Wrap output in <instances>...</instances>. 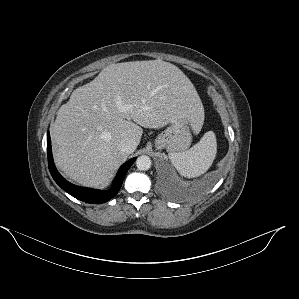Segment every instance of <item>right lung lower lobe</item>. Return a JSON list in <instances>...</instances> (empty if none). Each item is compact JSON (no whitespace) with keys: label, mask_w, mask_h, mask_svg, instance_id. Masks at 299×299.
<instances>
[{"label":"right lung lower lobe","mask_w":299,"mask_h":299,"mask_svg":"<svg viewBox=\"0 0 299 299\" xmlns=\"http://www.w3.org/2000/svg\"><path fill=\"white\" fill-rule=\"evenodd\" d=\"M47 155H48V166L50 173L55 180V182L67 193L72 195L73 197L92 204H101L105 203L111 198H113L119 191L123 179L130 168V166L133 164L136 158H132L128 162L122 165V167L119 169L113 185L108 190H96L91 188H83L75 186L68 181H66L56 170L53 157H52V150H51V140L49 132H47Z\"/></svg>","instance_id":"obj_1"}]
</instances>
